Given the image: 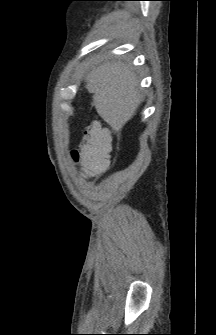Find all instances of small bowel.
<instances>
[{
	"mask_svg": "<svg viewBox=\"0 0 216 335\" xmlns=\"http://www.w3.org/2000/svg\"><path fill=\"white\" fill-rule=\"evenodd\" d=\"M81 162V161H80ZM100 173V172H99ZM82 180H86V179H88V178H81Z\"/></svg>",
	"mask_w": 216,
	"mask_h": 335,
	"instance_id": "small-bowel-1",
	"label": "small bowel"
}]
</instances>
